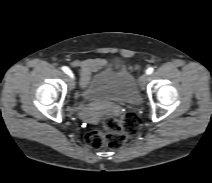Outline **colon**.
Masks as SVG:
<instances>
[{
	"mask_svg": "<svg viewBox=\"0 0 212 183\" xmlns=\"http://www.w3.org/2000/svg\"><path fill=\"white\" fill-rule=\"evenodd\" d=\"M141 125V120L135 113H126L120 118L106 114L101 118V128L88 132L85 142L94 149L103 146L118 149L130 136L139 132Z\"/></svg>",
	"mask_w": 212,
	"mask_h": 183,
	"instance_id": "5ec220e1",
	"label": "colon"
}]
</instances>
